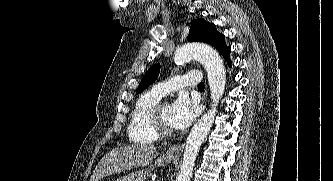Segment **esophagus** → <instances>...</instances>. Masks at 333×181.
Returning <instances> with one entry per match:
<instances>
[{
    "label": "esophagus",
    "instance_id": "1",
    "mask_svg": "<svg viewBox=\"0 0 333 181\" xmlns=\"http://www.w3.org/2000/svg\"><path fill=\"white\" fill-rule=\"evenodd\" d=\"M204 101H205V97H204ZM182 148H183L182 144H180V143L174 144L168 148L167 154L178 155V154H180Z\"/></svg>",
    "mask_w": 333,
    "mask_h": 181
}]
</instances>
